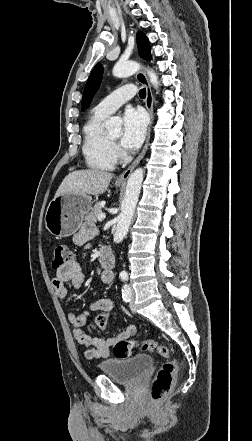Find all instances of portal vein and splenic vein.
Instances as JSON below:
<instances>
[{"label":"portal vein and splenic vein","mask_w":252,"mask_h":441,"mask_svg":"<svg viewBox=\"0 0 252 441\" xmlns=\"http://www.w3.org/2000/svg\"><path fill=\"white\" fill-rule=\"evenodd\" d=\"M105 218H106V215L104 213H100L98 215V221H100V222L103 221Z\"/></svg>","instance_id":"1"}]
</instances>
